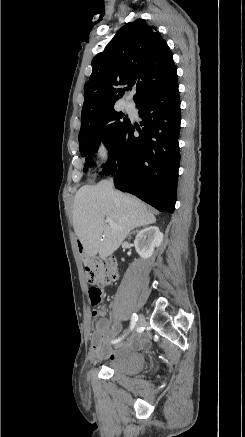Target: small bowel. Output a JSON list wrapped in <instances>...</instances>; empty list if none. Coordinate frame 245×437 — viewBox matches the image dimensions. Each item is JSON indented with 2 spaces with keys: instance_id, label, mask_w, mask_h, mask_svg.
<instances>
[{
  "instance_id": "1",
  "label": "small bowel",
  "mask_w": 245,
  "mask_h": 437,
  "mask_svg": "<svg viewBox=\"0 0 245 437\" xmlns=\"http://www.w3.org/2000/svg\"><path fill=\"white\" fill-rule=\"evenodd\" d=\"M121 330L120 324L116 319L109 321L106 318H101L97 322L96 330L91 338V355L94 358H115L118 350L112 349L108 342L114 338ZM144 343V339H135L127 348L140 346Z\"/></svg>"
}]
</instances>
